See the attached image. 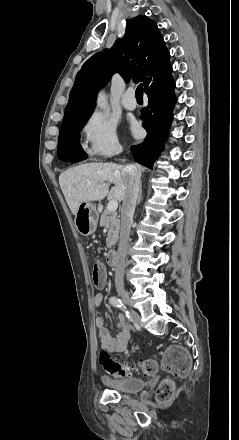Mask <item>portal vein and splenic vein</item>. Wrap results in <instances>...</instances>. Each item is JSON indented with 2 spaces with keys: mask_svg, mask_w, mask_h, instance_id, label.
I'll use <instances>...</instances> for the list:
<instances>
[{
  "mask_svg": "<svg viewBox=\"0 0 239 440\" xmlns=\"http://www.w3.org/2000/svg\"><path fill=\"white\" fill-rule=\"evenodd\" d=\"M117 208L118 202H116V200H111V202H108L107 210H109V212H116Z\"/></svg>",
  "mask_w": 239,
  "mask_h": 440,
  "instance_id": "18ae733b",
  "label": "portal vein and splenic vein"
}]
</instances>
